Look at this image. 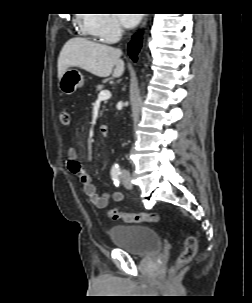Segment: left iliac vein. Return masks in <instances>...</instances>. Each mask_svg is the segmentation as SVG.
Segmentation results:
<instances>
[{"label": "left iliac vein", "instance_id": "obj_1", "mask_svg": "<svg viewBox=\"0 0 252 303\" xmlns=\"http://www.w3.org/2000/svg\"><path fill=\"white\" fill-rule=\"evenodd\" d=\"M122 183L126 188H131L132 187L131 179H130V176L128 174H123L122 175Z\"/></svg>", "mask_w": 252, "mask_h": 303}]
</instances>
